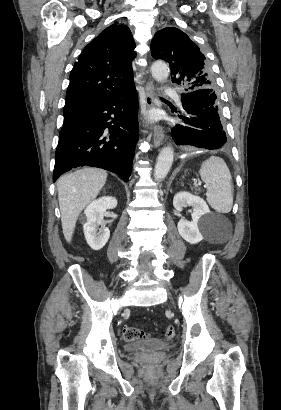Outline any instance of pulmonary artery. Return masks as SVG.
I'll use <instances>...</instances> for the list:
<instances>
[{
    "label": "pulmonary artery",
    "mask_w": 281,
    "mask_h": 410,
    "mask_svg": "<svg viewBox=\"0 0 281 410\" xmlns=\"http://www.w3.org/2000/svg\"><path fill=\"white\" fill-rule=\"evenodd\" d=\"M164 92L167 93V94L175 93L174 89L171 88V87L164 88ZM178 103L181 104L180 100H178Z\"/></svg>",
    "instance_id": "pulmonary-artery-1"
}]
</instances>
